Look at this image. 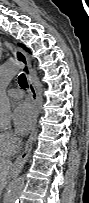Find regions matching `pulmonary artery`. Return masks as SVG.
<instances>
[{"mask_svg": "<svg viewBox=\"0 0 89 203\" xmlns=\"http://www.w3.org/2000/svg\"><path fill=\"white\" fill-rule=\"evenodd\" d=\"M8 96L13 99H20L23 97V91L20 89H10L7 92Z\"/></svg>", "mask_w": 89, "mask_h": 203, "instance_id": "1", "label": "pulmonary artery"}]
</instances>
